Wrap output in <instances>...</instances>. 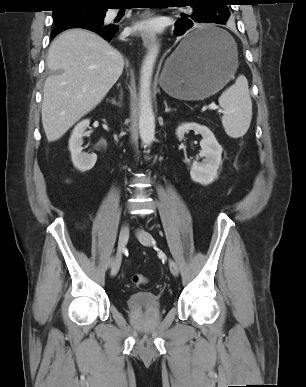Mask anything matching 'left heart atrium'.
I'll use <instances>...</instances> for the list:
<instances>
[{
    "instance_id": "39dd6f15",
    "label": "left heart atrium",
    "mask_w": 306,
    "mask_h": 387,
    "mask_svg": "<svg viewBox=\"0 0 306 387\" xmlns=\"http://www.w3.org/2000/svg\"><path fill=\"white\" fill-rule=\"evenodd\" d=\"M136 27L138 29H158L160 22L157 19H148L138 23Z\"/></svg>"
}]
</instances>
